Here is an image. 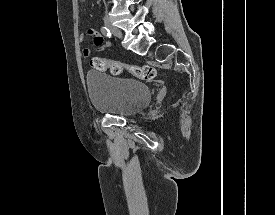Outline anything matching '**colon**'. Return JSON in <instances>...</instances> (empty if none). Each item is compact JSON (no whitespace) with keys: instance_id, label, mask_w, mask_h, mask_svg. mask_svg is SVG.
<instances>
[{"instance_id":"colon-1","label":"colon","mask_w":275,"mask_h":215,"mask_svg":"<svg viewBox=\"0 0 275 215\" xmlns=\"http://www.w3.org/2000/svg\"><path fill=\"white\" fill-rule=\"evenodd\" d=\"M82 3L85 0H80ZM91 66L99 71H107L109 70L112 74H119L121 71L126 70L133 77L143 80V81H152L156 75V71L154 68L144 65H123L119 62L112 61L105 57H94L91 60Z\"/></svg>"}]
</instances>
